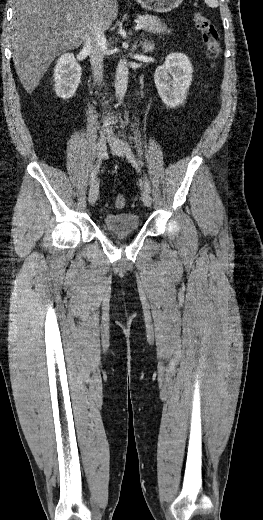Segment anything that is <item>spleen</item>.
<instances>
[{"instance_id":"spleen-1","label":"spleen","mask_w":263,"mask_h":520,"mask_svg":"<svg viewBox=\"0 0 263 520\" xmlns=\"http://www.w3.org/2000/svg\"><path fill=\"white\" fill-rule=\"evenodd\" d=\"M204 1L211 8L218 7V0H204Z\"/></svg>"}]
</instances>
